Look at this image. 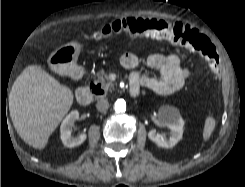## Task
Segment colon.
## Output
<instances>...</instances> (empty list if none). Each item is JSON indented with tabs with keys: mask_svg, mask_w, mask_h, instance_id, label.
Masks as SVG:
<instances>
[{
	"mask_svg": "<svg viewBox=\"0 0 245 187\" xmlns=\"http://www.w3.org/2000/svg\"><path fill=\"white\" fill-rule=\"evenodd\" d=\"M121 35L131 37L147 35L165 39L199 53L208 61L215 73L219 71V57L211 40L197 28L181 22L158 18L125 17L104 25L98 31L86 36V39L102 41Z\"/></svg>",
	"mask_w": 245,
	"mask_h": 187,
	"instance_id": "obj_1",
	"label": "colon"
}]
</instances>
